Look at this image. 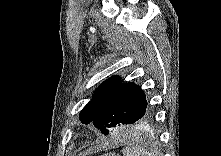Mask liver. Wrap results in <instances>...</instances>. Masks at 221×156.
I'll return each instance as SVG.
<instances>
[{"instance_id": "obj_1", "label": "liver", "mask_w": 221, "mask_h": 156, "mask_svg": "<svg viewBox=\"0 0 221 156\" xmlns=\"http://www.w3.org/2000/svg\"><path fill=\"white\" fill-rule=\"evenodd\" d=\"M101 149V147H94V148H91V149H89V153H91V152H93V151H98V150H100ZM87 154V153H86Z\"/></svg>"}]
</instances>
